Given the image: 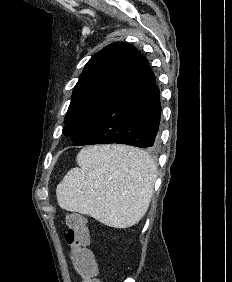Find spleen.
<instances>
[{
  "label": "spleen",
  "instance_id": "obj_1",
  "mask_svg": "<svg viewBox=\"0 0 232 282\" xmlns=\"http://www.w3.org/2000/svg\"><path fill=\"white\" fill-rule=\"evenodd\" d=\"M76 161L79 168L68 171L56 189L62 209L115 228L142 219L157 177V166L147 152L129 146H90Z\"/></svg>",
  "mask_w": 232,
  "mask_h": 282
}]
</instances>
